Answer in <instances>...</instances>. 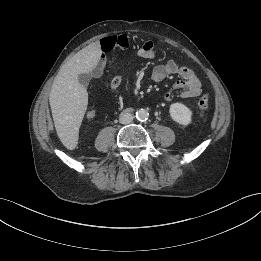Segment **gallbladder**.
<instances>
[{
    "label": "gallbladder",
    "instance_id": "obj_1",
    "mask_svg": "<svg viewBox=\"0 0 261 261\" xmlns=\"http://www.w3.org/2000/svg\"><path fill=\"white\" fill-rule=\"evenodd\" d=\"M90 79H91L90 73H82L78 75V80L80 84L83 85L84 87L88 86Z\"/></svg>",
    "mask_w": 261,
    "mask_h": 261
}]
</instances>
